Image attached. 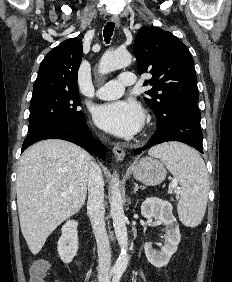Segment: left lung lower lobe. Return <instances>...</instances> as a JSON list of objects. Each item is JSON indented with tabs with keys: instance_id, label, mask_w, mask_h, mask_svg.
Returning a JSON list of instances; mask_svg holds the SVG:
<instances>
[{
	"instance_id": "left-lung-lower-lobe-1",
	"label": "left lung lower lobe",
	"mask_w": 232,
	"mask_h": 282,
	"mask_svg": "<svg viewBox=\"0 0 232 282\" xmlns=\"http://www.w3.org/2000/svg\"><path fill=\"white\" fill-rule=\"evenodd\" d=\"M157 116V130L149 143L135 150L136 154L153 145L167 141L186 143L203 153L200 111L197 104L185 100L177 101Z\"/></svg>"
}]
</instances>
